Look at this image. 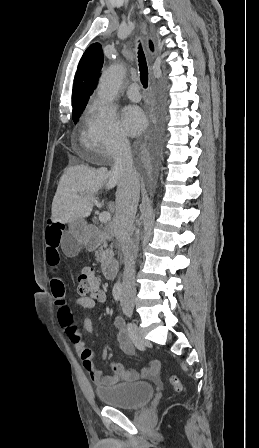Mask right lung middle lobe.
Here are the masks:
<instances>
[{
	"instance_id": "obj_1",
	"label": "right lung middle lobe",
	"mask_w": 259,
	"mask_h": 448,
	"mask_svg": "<svg viewBox=\"0 0 259 448\" xmlns=\"http://www.w3.org/2000/svg\"><path fill=\"white\" fill-rule=\"evenodd\" d=\"M83 110L84 108L73 110L72 117L75 123L78 121Z\"/></svg>"
}]
</instances>
